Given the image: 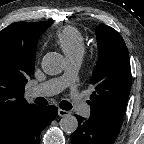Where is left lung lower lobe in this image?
Returning <instances> with one entry per match:
<instances>
[{
  "label": "left lung lower lobe",
  "mask_w": 144,
  "mask_h": 144,
  "mask_svg": "<svg viewBox=\"0 0 144 144\" xmlns=\"http://www.w3.org/2000/svg\"><path fill=\"white\" fill-rule=\"evenodd\" d=\"M78 128L71 135L72 144H113L119 131L107 128L92 119L76 116Z\"/></svg>",
  "instance_id": "left-lung-lower-lobe-1"
}]
</instances>
